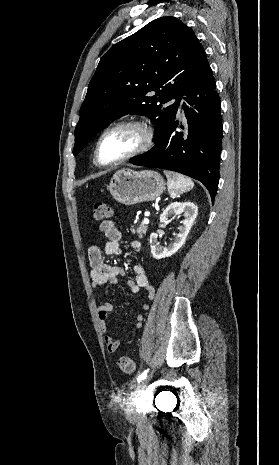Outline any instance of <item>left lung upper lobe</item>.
Listing matches in <instances>:
<instances>
[{
    "instance_id": "left-lung-upper-lobe-1",
    "label": "left lung upper lobe",
    "mask_w": 279,
    "mask_h": 465,
    "mask_svg": "<svg viewBox=\"0 0 279 465\" xmlns=\"http://www.w3.org/2000/svg\"><path fill=\"white\" fill-rule=\"evenodd\" d=\"M204 55L194 32L171 16L151 21L112 46L89 83L73 154L125 114L149 117L157 125V143L175 120L179 102ZM173 98L174 104L164 105Z\"/></svg>"
}]
</instances>
